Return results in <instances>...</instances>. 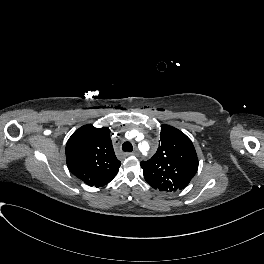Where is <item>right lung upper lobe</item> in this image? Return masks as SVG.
<instances>
[{
  "instance_id": "right-lung-upper-lobe-1",
  "label": "right lung upper lobe",
  "mask_w": 264,
  "mask_h": 264,
  "mask_svg": "<svg viewBox=\"0 0 264 264\" xmlns=\"http://www.w3.org/2000/svg\"><path fill=\"white\" fill-rule=\"evenodd\" d=\"M66 162L72 174L89 186L108 184L119 171L110 130L85 125L76 130L66 144Z\"/></svg>"
}]
</instances>
